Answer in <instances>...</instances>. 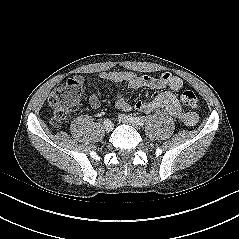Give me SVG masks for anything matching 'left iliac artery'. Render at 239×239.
<instances>
[{
  "label": "left iliac artery",
  "mask_w": 239,
  "mask_h": 239,
  "mask_svg": "<svg viewBox=\"0 0 239 239\" xmlns=\"http://www.w3.org/2000/svg\"><path fill=\"white\" fill-rule=\"evenodd\" d=\"M133 119L135 120V122L139 125V126H143L144 125V120L141 117H133Z\"/></svg>",
  "instance_id": "left-iliac-artery-1"
}]
</instances>
